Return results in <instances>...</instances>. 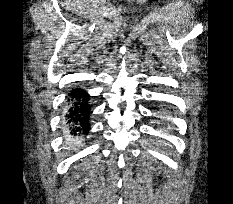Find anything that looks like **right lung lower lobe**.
Here are the masks:
<instances>
[{"label":"right lung lower lobe","mask_w":233,"mask_h":204,"mask_svg":"<svg viewBox=\"0 0 233 204\" xmlns=\"http://www.w3.org/2000/svg\"><path fill=\"white\" fill-rule=\"evenodd\" d=\"M89 96L80 88L73 89L69 94V108L66 114L67 123L70 125V132L72 136H79L80 134H88L89 117L92 113L88 104Z\"/></svg>","instance_id":"right-lung-lower-lobe-1"}]
</instances>
